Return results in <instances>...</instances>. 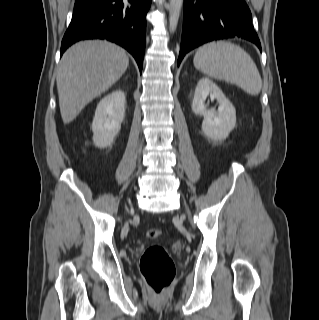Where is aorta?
Segmentation results:
<instances>
[{"instance_id": "1", "label": "aorta", "mask_w": 319, "mask_h": 320, "mask_svg": "<svg viewBox=\"0 0 319 320\" xmlns=\"http://www.w3.org/2000/svg\"><path fill=\"white\" fill-rule=\"evenodd\" d=\"M183 0H170L169 4V29L170 32L176 30Z\"/></svg>"}]
</instances>
